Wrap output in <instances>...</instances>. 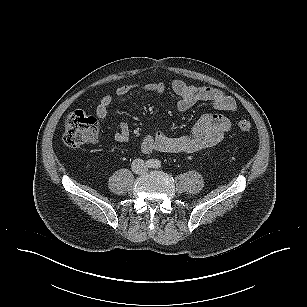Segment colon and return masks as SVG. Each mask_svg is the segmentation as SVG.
Masks as SVG:
<instances>
[{
	"mask_svg": "<svg viewBox=\"0 0 307 307\" xmlns=\"http://www.w3.org/2000/svg\"><path fill=\"white\" fill-rule=\"evenodd\" d=\"M237 127L244 132L252 130V123L247 119L237 121ZM98 119L82 111L70 113L65 122L64 143L69 148H76L94 141L99 134Z\"/></svg>",
	"mask_w": 307,
	"mask_h": 307,
	"instance_id": "1",
	"label": "colon"
}]
</instances>
